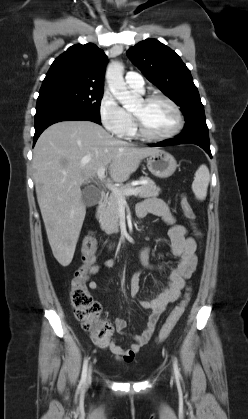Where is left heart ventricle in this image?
<instances>
[{
	"label": "left heart ventricle",
	"mask_w": 248,
	"mask_h": 419,
	"mask_svg": "<svg viewBox=\"0 0 248 419\" xmlns=\"http://www.w3.org/2000/svg\"><path fill=\"white\" fill-rule=\"evenodd\" d=\"M132 113L139 115L146 130L154 135H163L170 132L177 122L174 110L169 104L161 100L151 103H144L140 100Z\"/></svg>",
	"instance_id": "left-heart-ventricle-1"
}]
</instances>
